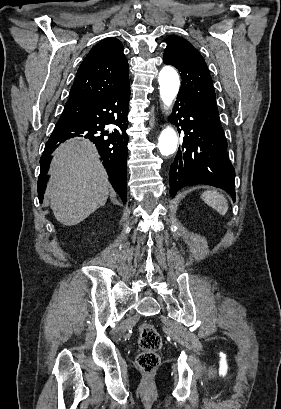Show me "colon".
<instances>
[{
  "mask_svg": "<svg viewBox=\"0 0 281 409\" xmlns=\"http://www.w3.org/2000/svg\"><path fill=\"white\" fill-rule=\"evenodd\" d=\"M163 341L153 325L141 324L139 326V347L142 352L137 357V364L145 372L158 368L160 357L158 351L162 348Z\"/></svg>",
  "mask_w": 281,
  "mask_h": 409,
  "instance_id": "5ec220e1",
  "label": "colon"
}]
</instances>
